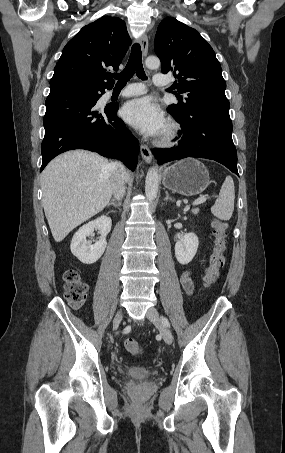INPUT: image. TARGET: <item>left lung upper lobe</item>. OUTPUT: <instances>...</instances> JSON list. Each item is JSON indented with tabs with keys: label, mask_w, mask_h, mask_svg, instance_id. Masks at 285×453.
Segmentation results:
<instances>
[{
	"label": "left lung upper lobe",
	"mask_w": 285,
	"mask_h": 453,
	"mask_svg": "<svg viewBox=\"0 0 285 453\" xmlns=\"http://www.w3.org/2000/svg\"><path fill=\"white\" fill-rule=\"evenodd\" d=\"M154 49L163 73L178 79V103L168 107L171 114L184 117L194 111L229 114L226 83L212 47L195 29L167 17L158 26ZM176 93V92H175Z\"/></svg>",
	"instance_id": "5c2ea615"
}]
</instances>
